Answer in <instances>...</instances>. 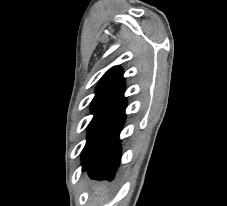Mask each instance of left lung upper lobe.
Instances as JSON below:
<instances>
[{
	"instance_id": "obj_1",
	"label": "left lung upper lobe",
	"mask_w": 227,
	"mask_h": 206,
	"mask_svg": "<svg viewBox=\"0 0 227 206\" xmlns=\"http://www.w3.org/2000/svg\"><path fill=\"white\" fill-rule=\"evenodd\" d=\"M124 88L125 81L123 78V71L119 66L109 69L100 79L95 97L91 102V111L94 114V117L88 125L87 143L82 152V160L91 150L93 134L104 112Z\"/></svg>"
}]
</instances>
